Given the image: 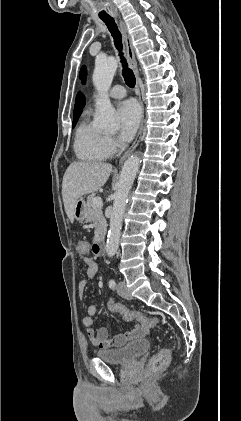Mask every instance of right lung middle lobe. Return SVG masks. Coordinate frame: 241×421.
Here are the masks:
<instances>
[{"label": "right lung middle lobe", "instance_id": "dd1d6c3e", "mask_svg": "<svg viewBox=\"0 0 241 421\" xmlns=\"http://www.w3.org/2000/svg\"><path fill=\"white\" fill-rule=\"evenodd\" d=\"M77 121H78V118H74V121H73V124H72V128H74V127H75V125H76Z\"/></svg>", "mask_w": 241, "mask_h": 421}]
</instances>
